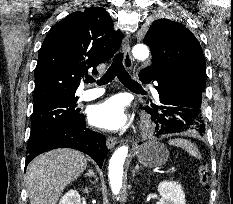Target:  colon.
<instances>
[{
    "instance_id": "obj_1",
    "label": "colon",
    "mask_w": 233,
    "mask_h": 204,
    "mask_svg": "<svg viewBox=\"0 0 233 204\" xmlns=\"http://www.w3.org/2000/svg\"><path fill=\"white\" fill-rule=\"evenodd\" d=\"M197 174H198L201 186L203 188H207L209 185L210 174H209V169L205 163L201 164L198 167Z\"/></svg>"
}]
</instances>
